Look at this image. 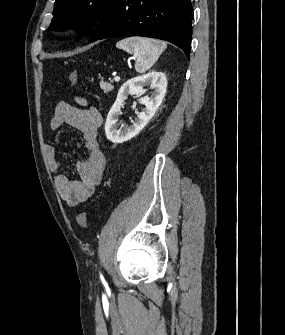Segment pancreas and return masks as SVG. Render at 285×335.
<instances>
[{
	"mask_svg": "<svg viewBox=\"0 0 285 335\" xmlns=\"http://www.w3.org/2000/svg\"><path fill=\"white\" fill-rule=\"evenodd\" d=\"M100 88L101 90H104V94H108V92L113 90L114 86H112V84H108V82H100Z\"/></svg>",
	"mask_w": 285,
	"mask_h": 335,
	"instance_id": "1",
	"label": "pancreas"
}]
</instances>
